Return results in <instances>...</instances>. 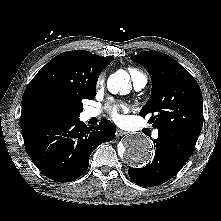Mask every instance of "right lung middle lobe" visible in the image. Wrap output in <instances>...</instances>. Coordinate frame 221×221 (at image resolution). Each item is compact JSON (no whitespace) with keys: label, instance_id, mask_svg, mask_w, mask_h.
I'll return each mask as SVG.
<instances>
[{"label":"right lung middle lobe","instance_id":"right-lung-middle-lobe-1","mask_svg":"<svg viewBox=\"0 0 221 221\" xmlns=\"http://www.w3.org/2000/svg\"><path fill=\"white\" fill-rule=\"evenodd\" d=\"M95 95L79 97L69 104L54 103L45 107L44 114L49 120L78 119L83 110L82 99H93Z\"/></svg>","mask_w":221,"mask_h":221}]
</instances>
